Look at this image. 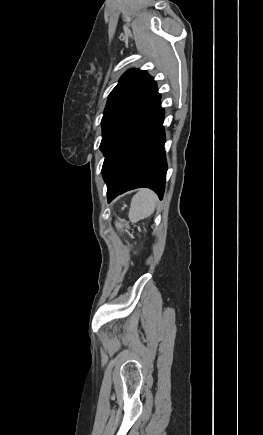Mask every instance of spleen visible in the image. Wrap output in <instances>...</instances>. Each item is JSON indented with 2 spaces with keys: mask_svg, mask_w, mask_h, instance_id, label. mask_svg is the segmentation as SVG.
I'll use <instances>...</instances> for the list:
<instances>
[{
  "mask_svg": "<svg viewBox=\"0 0 263 435\" xmlns=\"http://www.w3.org/2000/svg\"><path fill=\"white\" fill-rule=\"evenodd\" d=\"M157 196L148 189H142L134 195L129 211L131 221H138L152 215L155 211Z\"/></svg>",
  "mask_w": 263,
  "mask_h": 435,
  "instance_id": "3e777b00",
  "label": "spleen"
}]
</instances>
